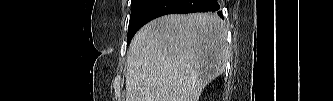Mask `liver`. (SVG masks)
<instances>
[{
	"label": "liver",
	"mask_w": 333,
	"mask_h": 101,
	"mask_svg": "<svg viewBox=\"0 0 333 101\" xmlns=\"http://www.w3.org/2000/svg\"><path fill=\"white\" fill-rule=\"evenodd\" d=\"M217 14H170L143 26L127 53L126 101H198L229 58Z\"/></svg>",
	"instance_id": "6515ba94"
}]
</instances>
